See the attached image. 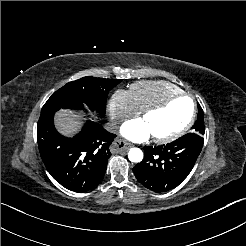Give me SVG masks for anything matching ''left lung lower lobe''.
Returning <instances> with one entry per match:
<instances>
[{"label":"left lung lower lobe","instance_id":"1","mask_svg":"<svg viewBox=\"0 0 246 246\" xmlns=\"http://www.w3.org/2000/svg\"><path fill=\"white\" fill-rule=\"evenodd\" d=\"M203 141L201 135L188 133L166 145L144 147V159L133 168L135 177L154 192L174 189L191 172Z\"/></svg>","mask_w":246,"mask_h":246}]
</instances>
